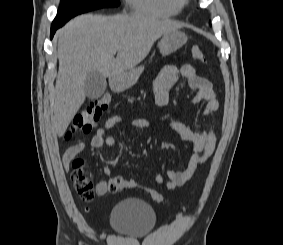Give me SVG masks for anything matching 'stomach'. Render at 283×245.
<instances>
[{
	"label": "stomach",
	"instance_id": "stomach-1",
	"mask_svg": "<svg viewBox=\"0 0 283 245\" xmlns=\"http://www.w3.org/2000/svg\"><path fill=\"white\" fill-rule=\"evenodd\" d=\"M186 41L187 36L181 31L176 30L166 33L159 42L160 53L163 56H167L181 48ZM143 70V66L132 68L113 78V84L118 89H127L136 84Z\"/></svg>",
	"mask_w": 283,
	"mask_h": 245
}]
</instances>
